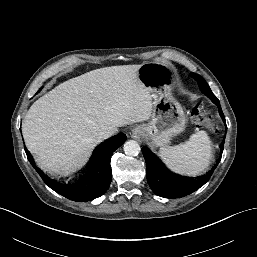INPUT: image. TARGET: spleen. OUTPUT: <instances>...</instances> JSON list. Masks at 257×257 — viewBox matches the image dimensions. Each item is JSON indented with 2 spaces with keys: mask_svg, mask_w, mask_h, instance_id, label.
Here are the masks:
<instances>
[{
  "mask_svg": "<svg viewBox=\"0 0 257 257\" xmlns=\"http://www.w3.org/2000/svg\"><path fill=\"white\" fill-rule=\"evenodd\" d=\"M163 162L172 171L197 176L209 166L212 144L206 131H197L189 140L175 146H163L159 150Z\"/></svg>",
  "mask_w": 257,
  "mask_h": 257,
  "instance_id": "obj_1",
  "label": "spleen"
}]
</instances>
